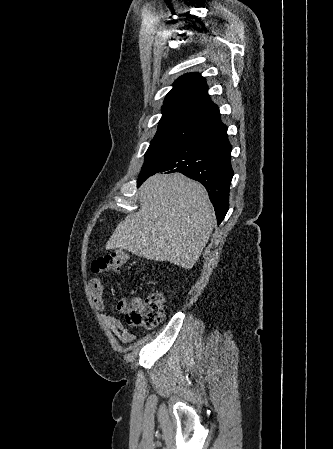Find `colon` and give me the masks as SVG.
I'll use <instances>...</instances> for the list:
<instances>
[{
  "label": "colon",
  "mask_w": 333,
  "mask_h": 449,
  "mask_svg": "<svg viewBox=\"0 0 333 449\" xmlns=\"http://www.w3.org/2000/svg\"><path fill=\"white\" fill-rule=\"evenodd\" d=\"M128 261L124 253H109L94 259L91 270L94 273L119 271ZM165 296L161 290H153L143 299H138L126 311V320L130 325L146 329L155 328L165 312Z\"/></svg>",
  "instance_id": "1"
}]
</instances>
